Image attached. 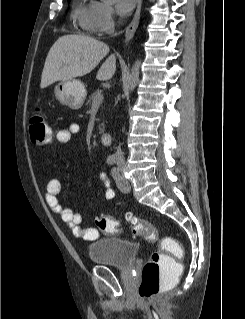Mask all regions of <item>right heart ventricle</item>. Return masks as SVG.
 I'll list each match as a JSON object with an SVG mask.
<instances>
[{
  "mask_svg": "<svg viewBox=\"0 0 245 319\" xmlns=\"http://www.w3.org/2000/svg\"><path fill=\"white\" fill-rule=\"evenodd\" d=\"M96 2L81 0L77 2L72 11V17L78 25L87 32L93 31Z\"/></svg>",
  "mask_w": 245,
  "mask_h": 319,
  "instance_id": "obj_1",
  "label": "right heart ventricle"
}]
</instances>
